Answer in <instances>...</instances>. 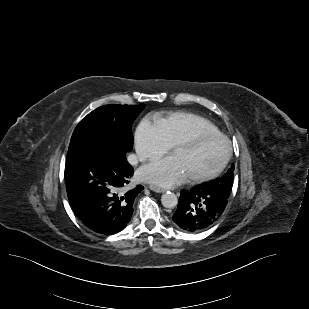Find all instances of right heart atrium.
<instances>
[{
    "label": "right heart atrium",
    "mask_w": 309,
    "mask_h": 309,
    "mask_svg": "<svg viewBox=\"0 0 309 309\" xmlns=\"http://www.w3.org/2000/svg\"><path fill=\"white\" fill-rule=\"evenodd\" d=\"M137 159L152 161L167 153L171 147L160 126L149 118L142 119L134 134Z\"/></svg>",
    "instance_id": "1"
}]
</instances>
